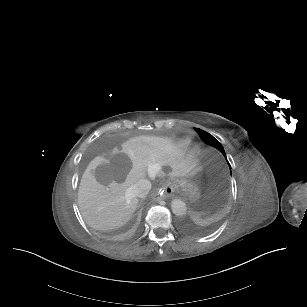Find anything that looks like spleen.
<instances>
[{
    "label": "spleen",
    "instance_id": "obj_1",
    "mask_svg": "<svg viewBox=\"0 0 307 307\" xmlns=\"http://www.w3.org/2000/svg\"><path fill=\"white\" fill-rule=\"evenodd\" d=\"M191 215L193 214L194 216L197 214L195 211L193 212L192 210L189 212ZM212 212L210 211V210H208V211H204V210H202L199 214L202 216V215H206V214H208V215H210Z\"/></svg>",
    "mask_w": 307,
    "mask_h": 307
}]
</instances>
